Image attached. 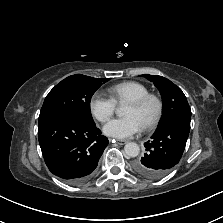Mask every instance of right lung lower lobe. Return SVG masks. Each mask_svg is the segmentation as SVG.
I'll list each match as a JSON object with an SVG mask.
<instances>
[{"label":"right lung lower lobe","instance_id":"1","mask_svg":"<svg viewBox=\"0 0 223 223\" xmlns=\"http://www.w3.org/2000/svg\"><path fill=\"white\" fill-rule=\"evenodd\" d=\"M38 139L48 169L71 184H81L92 176L109 142L95 123L73 114L39 122Z\"/></svg>","mask_w":223,"mask_h":223}]
</instances>
